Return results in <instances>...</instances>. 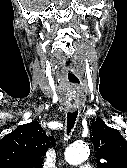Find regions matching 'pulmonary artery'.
Returning a JSON list of instances; mask_svg holds the SVG:
<instances>
[{"instance_id":"1","label":"pulmonary artery","mask_w":127,"mask_h":168,"mask_svg":"<svg viewBox=\"0 0 127 168\" xmlns=\"http://www.w3.org/2000/svg\"><path fill=\"white\" fill-rule=\"evenodd\" d=\"M78 168H92L89 164H82Z\"/></svg>"}]
</instances>
